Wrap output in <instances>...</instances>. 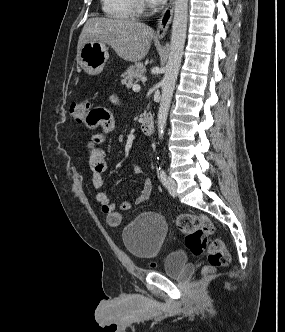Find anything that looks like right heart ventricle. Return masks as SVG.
I'll return each mask as SVG.
<instances>
[{"label": "right heart ventricle", "mask_w": 285, "mask_h": 332, "mask_svg": "<svg viewBox=\"0 0 285 332\" xmlns=\"http://www.w3.org/2000/svg\"><path fill=\"white\" fill-rule=\"evenodd\" d=\"M102 11L114 20H132L136 17L134 0H101Z\"/></svg>", "instance_id": "right-heart-ventricle-1"}]
</instances>
